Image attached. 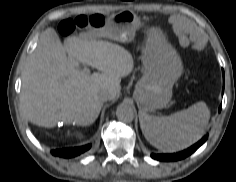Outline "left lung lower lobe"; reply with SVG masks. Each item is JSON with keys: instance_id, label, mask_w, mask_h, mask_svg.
Listing matches in <instances>:
<instances>
[{"instance_id": "0a47b994", "label": "left lung lower lobe", "mask_w": 236, "mask_h": 182, "mask_svg": "<svg viewBox=\"0 0 236 182\" xmlns=\"http://www.w3.org/2000/svg\"><path fill=\"white\" fill-rule=\"evenodd\" d=\"M223 79H224V72H223ZM224 92V86L222 93ZM221 111V106L219 108V112ZM207 140V135L204 136L199 142L191 146L190 148L173 154H152L151 157L153 159L159 160V161H177L181 160L189 155H191L193 152H195L205 141Z\"/></svg>"}]
</instances>
